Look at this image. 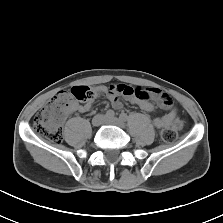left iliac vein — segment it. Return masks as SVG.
<instances>
[{
	"label": "left iliac vein",
	"mask_w": 223,
	"mask_h": 223,
	"mask_svg": "<svg viewBox=\"0 0 223 223\" xmlns=\"http://www.w3.org/2000/svg\"><path fill=\"white\" fill-rule=\"evenodd\" d=\"M104 123L105 124H110V125H115V126H118L120 128H124L125 127L124 120L116 118V117H114V118H105Z\"/></svg>",
	"instance_id": "obj_1"
}]
</instances>
